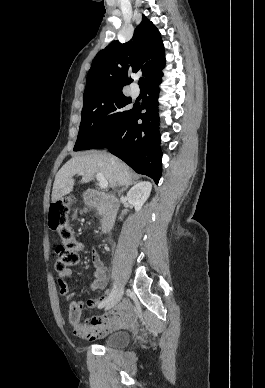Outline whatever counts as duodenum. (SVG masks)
<instances>
[{"label": "duodenum", "mask_w": 265, "mask_h": 388, "mask_svg": "<svg viewBox=\"0 0 265 388\" xmlns=\"http://www.w3.org/2000/svg\"><path fill=\"white\" fill-rule=\"evenodd\" d=\"M84 201L89 206L102 209L101 230L102 232L109 231L113 227L118 214V199L109 193L88 190L84 194Z\"/></svg>", "instance_id": "1"}]
</instances>
